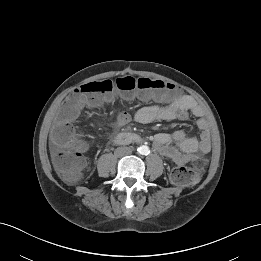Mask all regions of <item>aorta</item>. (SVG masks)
Masks as SVG:
<instances>
[{
  "instance_id": "1",
  "label": "aorta",
  "mask_w": 261,
  "mask_h": 261,
  "mask_svg": "<svg viewBox=\"0 0 261 261\" xmlns=\"http://www.w3.org/2000/svg\"><path fill=\"white\" fill-rule=\"evenodd\" d=\"M138 152L142 155H147L149 153V147L146 145H142L138 148Z\"/></svg>"
}]
</instances>
